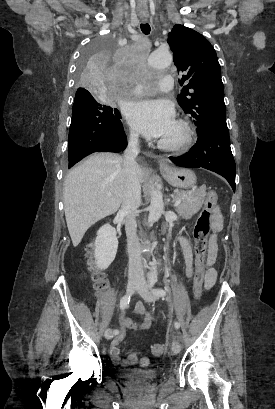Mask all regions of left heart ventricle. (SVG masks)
Segmentation results:
<instances>
[{
    "label": "left heart ventricle",
    "instance_id": "1",
    "mask_svg": "<svg viewBox=\"0 0 275 409\" xmlns=\"http://www.w3.org/2000/svg\"><path fill=\"white\" fill-rule=\"evenodd\" d=\"M179 134L178 128L176 127V125L174 124L171 129L161 138H159V140H165V141H171L177 138Z\"/></svg>",
    "mask_w": 275,
    "mask_h": 409
}]
</instances>
